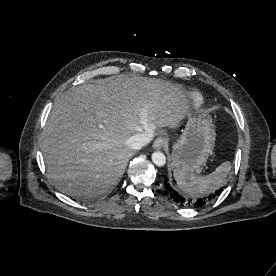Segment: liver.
<instances>
[{"label": "liver", "instance_id": "1", "mask_svg": "<svg viewBox=\"0 0 276 276\" xmlns=\"http://www.w3.org/2000/svg\"><path fill=\"white\" fill-rule=\"evenodd\" d=\"M187 115L184 91L161 79L119 75L72 87L54 103L42 136L48 177L68 196L98 197L122 177L131 136L175 129Z\"/></svg>", "mask_w": 276, "mask_h": 276}]
</instances>
